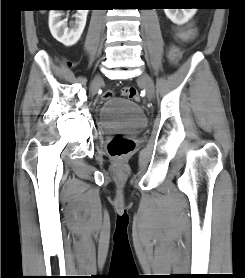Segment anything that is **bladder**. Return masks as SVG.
<instances>
[{"mask_svg":"<svg viewBox=\"0 0 245 278\" xmlns=\"http://www.w3.org/2000/svg\"><path fill=\"white\" fill-rule=\"evenodd\" d=\"M99 124L104 129L113 127L122 132H135L146 127L142 109L126 98L112 97L99 110Z\"/></svg>","mask_w":245,"mask_h":278,"instance_id":"bladder-1","label":"bladder"}]
</instances>
